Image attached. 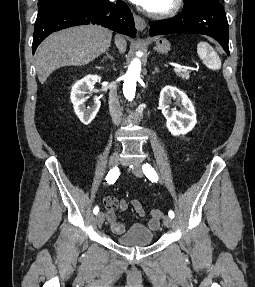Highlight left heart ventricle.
<instances>
[{
  "label": "left heart ventricle",
  "instance_id": "left-heart-ventricle-1",
  "mask_svg": "<svg viewBox=\"0 0 255 287\" xmlns=\"http://www.w3.org/2000/svg\"><path fill=\"white\" fill-rule=\"evenodd\" d=\"M149 33H163V32H149ZM148 39H160V38H148ZM137 48H167V47H137Z\"/></svg>",
  "mask_w": 255,
  "mask_h": 287
}]
</instances>
